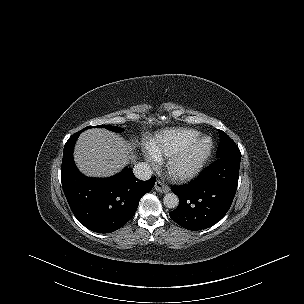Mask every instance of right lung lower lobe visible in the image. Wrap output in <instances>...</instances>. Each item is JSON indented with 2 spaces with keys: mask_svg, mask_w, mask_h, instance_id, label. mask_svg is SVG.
<instances>
[{
  "mask_svg": "<svg viewBox=\"0 0 304 304\" xmlns=\"http://www.w3.org/2000/svg\"><path fill=\"white\" fill-rule=\"evenodd\" d=\"M82 131L73 134L64 146L61 166L62 187L78 221L89 230L110 233L135 214L143 195L150 192L156 178L137 179L130 168L110 178H89L75 166L73 149Z\"/></svg>",
  "mask_w": 304,
  "mask_h": 304,
  "instance_id": "right-lung-lower-lobe-1",
  "label": "right lung lower lobe"
}]
</instances>
